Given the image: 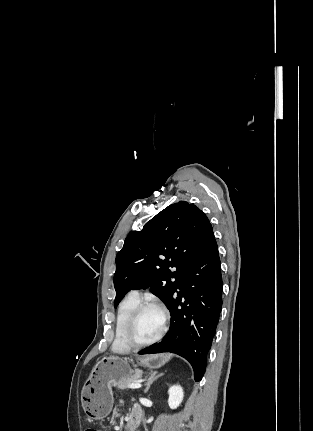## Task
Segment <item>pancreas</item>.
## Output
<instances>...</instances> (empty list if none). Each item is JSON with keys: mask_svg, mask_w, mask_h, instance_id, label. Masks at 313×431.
<instances>
[{"mask_svg": "<svg viewBox=\"0 0 313 431\" xmlns=\"http://www.w3.org/2000/svg\"><path fill=\"white\" fill-rule=\"evenodd\" d=\"M141 374H142L141 372H136L134 376H131V377L127 378V379L120 380L117 383V387L119 389L123 390V389L127 388L128 384H131V383H134V382H139Z\"/></svg>", "mask_w": 313, "mask_h": 431, "instance_id": "1", "label": "pancreas"}]
</instances>
